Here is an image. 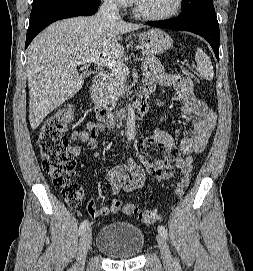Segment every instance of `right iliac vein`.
<instances>
[{
	"label": "right iliac vein",
	"instance_id": "1",
	"mask_svg": "<svg viewBox=\"0 0 253 271\" xmlns=\"http://www.w3.org/2000/svg\"><path fill=\"white\" fill-rule=\"evenodd\" d=\"M91 241H92L91 228H88L82 233L80 238L75 271H83L87 252L90 248Z\"/></svg>",
	"mask_w": 253,
	"mask_h": 271
}]
</instances>
